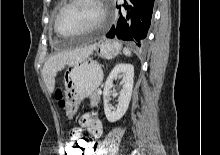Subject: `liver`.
<instances>
[{"instance_id": "obj_1", "label": "liver", "mask_w": 220, "mask_h": 155, "mask_svg": "<svg viewBox=\"0 0 220 155\" xmlns=\"http://www.w3.org/2000/svg\"><path fill=\"white\" fill-rule=\"evenodd\" d=\"M94 48V46H89L79 49L64 50L49 57L42 69L43 80L48 91L50 93L54 91L55 77L59 71L66 66H73L85 60L93 52Z\"/></svg>"}]
</instances>
